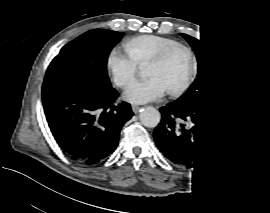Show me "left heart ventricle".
Masks as SVG:
<instances>
[{
    "instance_id": "1",
    "label": "left heart ventricle",
    "mask_w": 270,
    "mask_h": 213,
    "mask_svg": "<svg viewBox=\"0 0 270 213\" xmlns=\"http://www.w3.org/2000/svg\"><path fill=\"white\" fill-rule=\"evenodd\" d=\"M190 66L189 57L183 52L172 54L164 63L149 67L150 76L157 77L168 89L182 84Z\"/></svg>"
}]
</instances>
